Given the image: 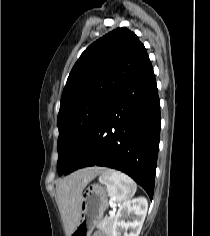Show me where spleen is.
I'll return each instance as SVG.
<instances>
[{
    "label": "spleen",
    "instance_id": "obj_1",
    "mask_svg": "<svg viewBox=\"0 0 210 236\" xmlns=\"http://www.w3.org/2000/svg\"><path fill=\"white\" fill-rule=\"evenodd\" d=\"M99 182L106 185L108 195L119 203L129 200L137 190L136 183L128 175L112 169L103 171Z\"/></svg>",
    "mask_w": 210,
    "mask_h": 236
}]
</instances>
